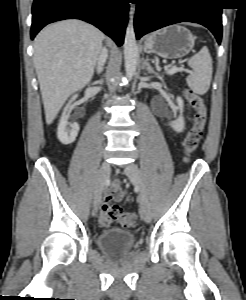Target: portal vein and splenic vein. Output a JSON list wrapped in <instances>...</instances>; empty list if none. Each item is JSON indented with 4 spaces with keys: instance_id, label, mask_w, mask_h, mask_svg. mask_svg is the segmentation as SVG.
Returning <instances> with one entry per match:
<instances>
[{
    "instance_id": "1",
    "label": "portal vein and splenic vein",
    "mask_w": 246,
    "mask_h": 300,
    "mask_svg": "<svg viewBox=\"0 0 246 300\" xmlns=\"http://www.w3.org/2000/svg\"><path fill=\"white\" fill-rule=\"evenodd\" d=\"M187 72V73H192V71H190V70H188V69H184L183 67H180V68H178V67H176V66H174V67H172L171 69H169V70H167L166 71V73L168 74V75H173V74H175V73H177V72Z\"/></svg>"
}]
</instances>
